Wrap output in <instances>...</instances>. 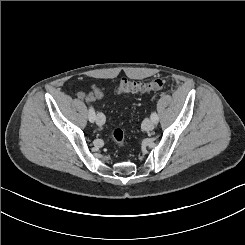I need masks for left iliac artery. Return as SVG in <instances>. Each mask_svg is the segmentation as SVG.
I'll list each match as a JSON object with an SVG mask.
<instances>
[{
  "mask_svg": "<svg viewBox=\"0 0 245 245\" xmlns=\"http://www.w3.org/2000/svg\"><path fill=\"white\" fill-rule=\"evenodd\" d=\"M150 117H151V120H152L153 122H155V123L158 122V119H159V118H158V115H157L156 112H152Z\"/></svg>",
  "mask_w": 245,
  "mask_h": 245,
  "instance_id": "44dca946",
  "label": "left iliac artery"
}]
</instances>
